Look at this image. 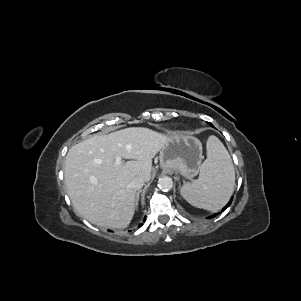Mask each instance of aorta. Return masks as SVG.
Here are the masks:
<instances>
[{"label":"aorta","instance_id":"aorta-1","mask_svg":"<svg viewBox=\"0 0 301 301\" xmlns=\"http://www.w3.org/2000/svg\"><path fill=\"white\" fill-rule=\"evenodd\" d=\"M158 187L163 191H169L173 187V180L169 176H163L158 180Z\"/></svg>","mask_w":301,"mask_h":301}]
</instances>
